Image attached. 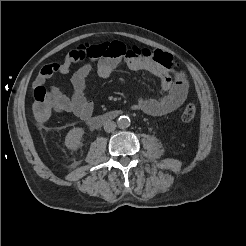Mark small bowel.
I'll return each instance as SVG.
<instances>
[{
	"instance_id": "c3829d8e",
	"label": "small bowel",
	"mask_w": 246,
	"mask_h": 246,
	"mask_svg": "<svg viewBox=\"0 0 246 246\" xmlns=\"http://www.w3.org/2000/svg\"><path fill=\"white\" fill-rule=\"evenodd\" d=\"M162 53L171 57L165 52ZM121 62H124L130 70L150 74L160 84L156 95L139 98L133 105L134 109L151 116H162L175 111L186 100L187 74L178 64L175 63L184 73L183 79H177L164 65L141 55L139 48L120 41L77 46L66 55L62 63L42 67L33 86L34 88L43 86L54 75H67L73 65L80 64L70 79L73 89L71 96L65 95L56 85L50 86L48 96L51 108L56 113H71L82 120H88L93 113L94 105L84 94L87 77L96 66L101 78H109Z\"/></svg>"
}]
</instances>
